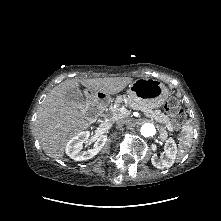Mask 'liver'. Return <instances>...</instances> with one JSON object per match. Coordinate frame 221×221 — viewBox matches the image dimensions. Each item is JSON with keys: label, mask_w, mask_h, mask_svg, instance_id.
<instances>
[{"label": "liver", "mask_w": 221, "mask_h": 221, "mask_svg": "<svg viewBox=\"0 0 221 221\" xmlns=\"http://www.w3.org/2000/svg\"><path fill=\"white\" fill-rule=\"evenodd\" d=\"M131 77H107L68 80L56 86L44 99L38 110L35 134L47 156L62 158L67 141L92 125L84 112V105L70 103L65 93L70 88L92 87L96 92L104 88L109 94L122 91L132 83Z\"/></svg>", "instance_id": "liver-1"}]
</instances>
